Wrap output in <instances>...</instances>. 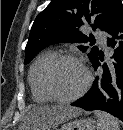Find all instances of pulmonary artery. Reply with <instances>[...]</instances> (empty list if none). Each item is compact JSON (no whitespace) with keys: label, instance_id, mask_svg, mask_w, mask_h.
Wrapping results in <instances>:
<instances>
[{"label":"pulmonary artery","instance_id":"pulmonary-artery-1","mask_svg":"<svg viewBox=\"0 0 123 130\" xmlns=\"http://www.w3.org/2000/svg\"><path fill=\"white\" fill-rule=\"evenodd\" d=\"M95 37L100 41V43L106 47V38L105 35L101 31H97L95 33Z\"/></svg>","mask_w":123,"mask_h":130}]
</instances>
